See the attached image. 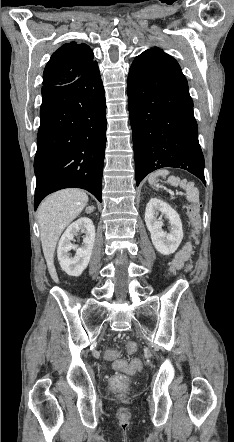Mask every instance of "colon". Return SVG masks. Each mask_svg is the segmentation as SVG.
I'll return each mask as SVG.
<instances>
[{"instance_id":"obj_1","label":"colon","mask_w":234,"mask_h":442,"mask_svg":"<svg viewBox=\"0 0 234 442\" xmlns=\"http://www.w3.org/2000/svg\"><path fill=\"white\" fill-rule=\"evenodd\" d=\"M188 217L191 225L195 228V230H199L201 225V219H200V204L194 203L189 206L188 208ZM184 268L187 269V271H190V268L192 266L191 261L186 260L183 263ZM137 346L133 342H129L126 344V351L129 354H132L136 351ZM102 353L104 354V358L108 361L113 362V368L116 371L125 372L128 374L135 373L136 371L140 370L142 368V362L140 357L133 356L131 357L130 361H126L124 359L120 358V351L117 348H104L102 350ZM130 384L129 377H126L125 375H118L114 377L113 380L109 381V388L110 389H127Z\"/></svg>"}]
</instances>
